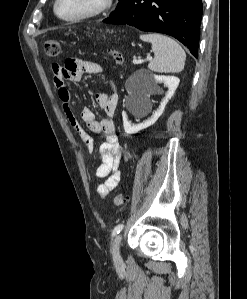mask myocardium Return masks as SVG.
<instances>
[{
	"label": "myocardium",
	"mask_w": 247,
	"mask_h": 299,
	"mask_svg": "<svg viewBox=\"0 0 247 299\" xmlns=\"http://www.w3.org/2000/svg\"><path fill=\"white\" fill-rule=\"evenodd\" d=\"M60 1L61 0H55L54 5H53V11H54V14L56 15V17H58L60 20H62L64 22H79L82 20L96 17V16L100 15L101 13H103L104 11H106L112 3V0H98L95 3V5L88 11L83 12L76 16L64 17V16L60 15V13L58 12V5H59Z\"/></svg>",
	"instance_id": "f54148a6"
}]
</instances>
